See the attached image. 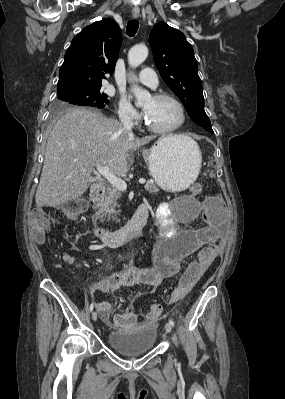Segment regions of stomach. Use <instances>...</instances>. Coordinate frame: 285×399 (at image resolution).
I'll return each mask as SVG.
<instances>
[{"instance_id": "obj_1", "label": "stomach", "mask_w": 285, "mask_h": 399, "mask_svg": "<svg viewBox=\"0 0 285 399\" xmlns=\"http://www.w3.org/2000/svg\"><path fill=\"white\" fill-rule=\"evenodd\" d=\"M144 159L157 185L169 192L188 188L196 180L202 163L199 146L184 135L158 140L144 152Z\"/></svg>"}]
</instances>
